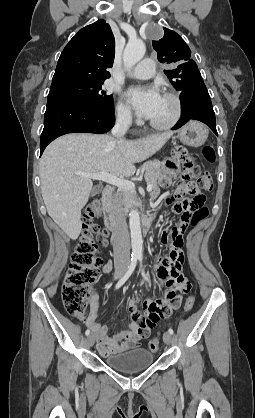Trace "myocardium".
Returning a JSON list of instances; mask_svg holds the SVG:
<instances>
[{
	"instance_id": "myocardium-1",
	"label": "myocardium",
	"mask_w": 255,
	"mask_h": 418,
	"mask_svg": "<svg viewBox=\"0 0 255 418\" xmlns=\"http://www.w3.org/2000/svg\"><path fill=\"white\" fill-rule=\"evenodd\" d=\"M163 96L170 99L174 105V112L172 117L165 123H157L152 120H149L148 124L151 128L155 130H168L174 127L181 118L182 115V101L178 94L173 91H165Z\"/></svg>"
}]
</instances>
